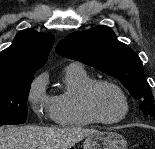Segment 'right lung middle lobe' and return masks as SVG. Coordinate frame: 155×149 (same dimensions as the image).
<instances>
[{
    "label": "right lung middle lobe",
    "mask_w": 155,
    "mask_h": 149,
    "mask_svg": "<svg viewBox=\"0 0 155 149\" xmlns=\"http://www.w3.org/2000/svg\"><path fill=\"white\" fill-rule=\"evenodd\" d=\"M33 75L0 78V126L23 124Z\"/></svg>",
    "instance_id": "1"
}]
</instances>
